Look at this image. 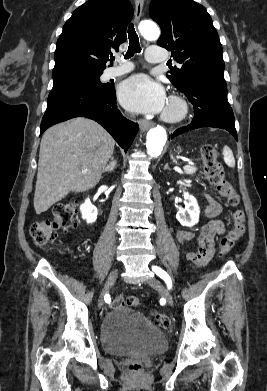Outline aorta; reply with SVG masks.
I'll return each mask as SVG.
<instances>
[{
	"instance_id": "aorta-1",
	"label": "aorta",
	"mask_w": 267,
	"mask_h": 391,
	"mask_svg": "<svg viewBox=\"0 0 267 391\" xmlns=\"http://www.w3.org/2000/svg\"><path fill=\"white\" fill-rule=\"evenodd\" d=\"M142 36L149 40H157L160 36V30L154 22L144 21L139 26ZM167 133L162 126H156L147 133V153L151 157L158 156L166 143Z\"/></svg>"
}]
</instances>
